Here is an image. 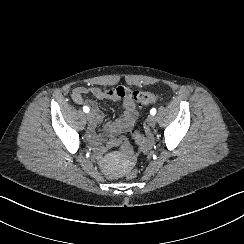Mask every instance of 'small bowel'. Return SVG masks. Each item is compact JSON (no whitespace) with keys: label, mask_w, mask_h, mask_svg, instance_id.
Returning a JSON list of instances; mask_svg holds the SVG:
<instances>
[{"label":"small bowel","mask_w":244,"mask_h":244,"mask_svg":"<svg viewBox=\"0 0 244 244\" xmlns=\"http://www.w3.org/2000/svg\"><path fill=\"white\" fill-rule=\"evenodd\" d=\"M88 93L92 94L93 96H95L97 99L100 100H104L107 98V94L101 88L97 86H93V87L75 88L72 91L71 99L75 104L78 105H82L86 103L92 111V114L95 119V123H98L102 120L103 114L99 110L95 102L85 101L84 96ZM122 107H123V112L119 117V119L114 122H109L108 124H106L104 128V132L94 137V139L97 140V142L102 143L105 141L112 140L114 134L116 133L121 134L129 131L132 128L135 120L137 119L138 111H137L136 104L131 96H128L125 99H123ZM94 124L90 126L91 135H93L94 132ZM143 143L144 145H142V147L146 149L147 147L153 145L154 140L152 137L147 136L144 138Z\"/></svg>","instance_id":"small-bowel-1"}]
</instances>
